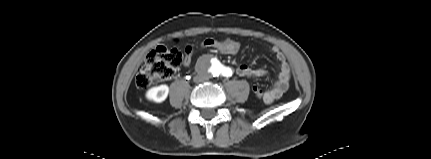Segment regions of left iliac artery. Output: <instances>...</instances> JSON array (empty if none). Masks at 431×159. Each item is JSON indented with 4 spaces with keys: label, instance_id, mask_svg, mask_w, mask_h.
I'll return each mask as SVG.
<instances>
[{
    "label": "left iliac artery",
    "instance_id": "obj_1",
    "mask_svg": "<svg viewBox=\"0 0 431 159\" xmlns=\"http://www.w3.org/2000/svg\"><path fill=\"white\" fill-rule=\"evenodd\" d=\"M222 74L223 76L229 77L232 74V70L230 68H224Z\"/></svg>",
    "mask_w": 431,
    "mask_h": 159
}]
</instances>
